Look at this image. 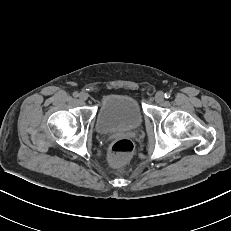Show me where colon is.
<instances>
[{
    "instance_id": "colon-1",
    "label": "colon",
    "mask_w": 231,
    "mask_h": 231,
    "mask_svg": "<svg viewBox=\"0 0 231 231\" xmlns=\"http://www.w3.org/2000/svg\"><path fill=\"white\" fill-rule=\"evenodd\" d=\"M133 150L134 144L130 139H117L110 146V161L115 165H122L130 158Z\"/></svg>"
}]
</instances>
